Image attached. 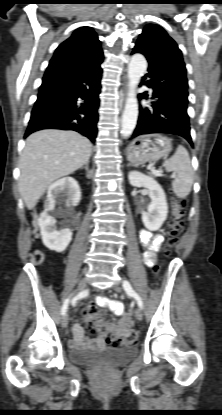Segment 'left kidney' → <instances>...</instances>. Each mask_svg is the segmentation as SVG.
I'll use <instances>...</instances> for the list:
<instances>
[{
  "label": "left kidney",
  "mask_w": 222,
  "mask_h": 415,
  "mask_svg": "<svg viewBox=\"0 0 222 415\" xmlns=\"http://www.w3.org/2000/svg\"><path fill=\"white\" fill-rule=\"evenodd\" d=\"M129 182L134 187H144L148 190L151 203L147 212L142 214V221L150 231L158 230L167 218L168 206L163 188L153 178L138 171H130Z\"/></svg>",
  "instance_id": "obj_1"
}]
</instances>
